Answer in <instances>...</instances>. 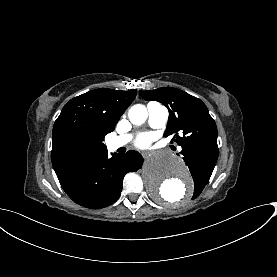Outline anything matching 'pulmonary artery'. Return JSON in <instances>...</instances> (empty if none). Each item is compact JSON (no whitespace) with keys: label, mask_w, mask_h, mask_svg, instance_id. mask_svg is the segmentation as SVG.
Wrapping results in <instances>:
<instances>
[{"label":"pulmonary artery","mask_w":277,"mask_h":277,"mask_svg":"<svg viewBox=\"0 0 277 277\" xmlns=\"http://www.w3.org/2000/svg\"><path fill=\"white\" fill-rule=\"evenodd\" d=\"M143 110L147 116L150 127L159 129L163 128L167 124L169 111L165 106L156 102H151L148 103L146 107H143ZM131 139V134L122 135L113 140L110 145L114 148H119L127 145Z\"/></svg>","instance_id":"obj_1"}]
</instances>
